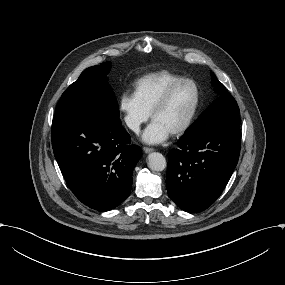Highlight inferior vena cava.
Instances as JSON below:
<instances>
[{"label": "inferior vena cava", "mask_w": 285, "mask_h": 285, "mask_svg": "<svg viewBox=\"0 0 285 285\" xmlns=\"http://www.w3.org/2000/svg\"><path fill=\"white\" fill-rule=\"evenodd\" d=\"M125 122L127 124V126L132 129L133 131L136 130L139 127V124L137 122V120L133 119L130 116H126L125 117Z\"/></svg>", "instance_id": "obj_1"}]
</instances>
